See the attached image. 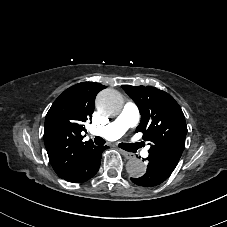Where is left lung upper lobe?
<instances>
[{"mask_svg": "<svg viewBox=\"0 0 227 227\" xmlns=\"http://www.w3.org/2000/svg\"><path fill=\"white\" fill-rule=\"evenodd\" d=\"M135 101L141 122L136 132L150 141L149 156L176 167L185 148L187 125L184 114L168 93L151 86L123 85Z\"/></svg>", "mask_w": 227, "mask_h": 227, "instance_id": "left-lung-upper-lobe-1", "label": "left lung upper lobe"}]
</instances>
